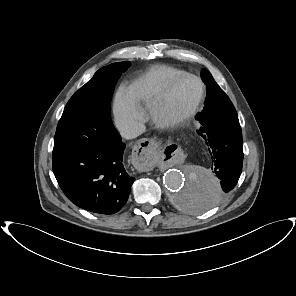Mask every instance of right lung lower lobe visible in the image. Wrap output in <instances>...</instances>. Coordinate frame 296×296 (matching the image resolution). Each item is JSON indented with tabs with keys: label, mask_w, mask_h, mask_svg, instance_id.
Returning <instances> with one entry per match:
<instances>
[{
	"label": "right lung lower lobe",
	"mask_w": 296,
	"mask_h": 296,
	"mask_svg": "<svg viewBox=\"0 0 296 296\" xmlns=\"http://www.w3.org/2000/svg\"><path fill=\"white\" fill-rule=\"evenodd\" d=\"M124 149L119 135L110 146L82 148L53 156V172L67 198L76 206L97 214L120 211L135 181L123 166Z\"/></svg>",
	"instance_id": "right-lung-lower-lobe-1"
}]
</instances>
